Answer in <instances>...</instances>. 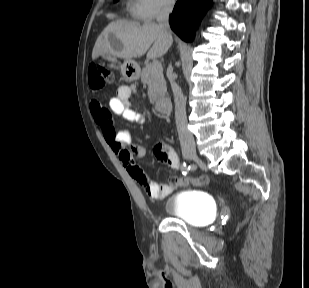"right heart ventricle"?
<instances>
[{
    "instance_id": "right-heart-ventricle-1",
    "label": "right heart ventricle",
    "mask_w": 309,
    "mask_h": 288,
    "mask_svg": "<svg viewBox=\"0 0 309 288\" xmlns=\"http://www.w3.org/2000/svg\"><path fill=\"white\" fill-rule=\"evenodd\" d=\"M129 10L133 16L142 17L140 15V10H139V7L137 6L136 1L130 4Z\"/></svg>"
}]
</instances>
